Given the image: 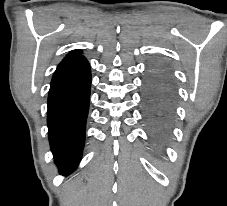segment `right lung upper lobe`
<instances>
[{
	"mask_svg": "<svg viewBox=\"0 0 227 206\" xmlns=\"http://www.w3.org/2000/svg\"><path fill=\"white\" fill-rule=\"evenodd\" d=\"M80 56H82L80 50H73L63 59V61H66V60L72 59V58H76V57H80Z\"/></svg>",
	"mask_w": 227,
	"mask_h": 206,
	"instance_id": "cb5924a9",
	"label": "right lung upper lobe"
}]
</instances>
